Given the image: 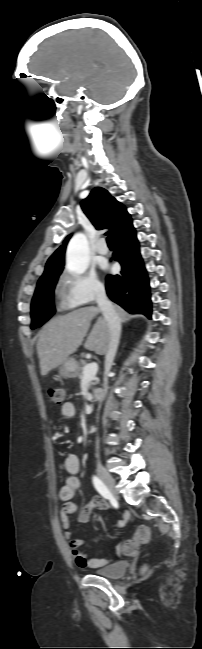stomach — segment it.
Returning a JSON list of instances; mask_svg holds the SVG:
<instances>
[{"mask_svg": "<svg viewBox=\"0 0 202 649\" xmlns=\"http://www.w3.org/2000/svg\"><path fill=\"white\" fill-rule=\"evenodd\" d=\"M78 363L73 357L67 358L60 367L59 373L64 378H73L78 370Z\"/></svg>", "mask_w": 202, "mask_h": 649, "instance_id": "1", "label": "stomach"}]
</instances>
